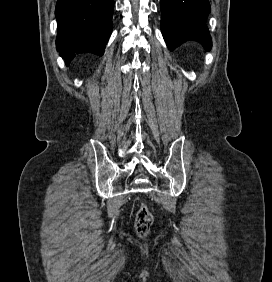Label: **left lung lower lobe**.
Masks as SVG:
<instances>
[{"instance_id": "0a47b994", "label": "left lung lower lobe", "mask_w": 272, "mask_h": 282, "mask_svg": "<svg viewBox=\"0 0 272 282\" xmlns=\"http://www.w3.org/2000/svg\"><path fill=\"white\" fill-rule=\"evenodd\" d=\"M161 31L170 50L186 40L199 41L205 50L212 46L206 26L211 11L208 0H161Z\"/></svg>"}]
</instances>
